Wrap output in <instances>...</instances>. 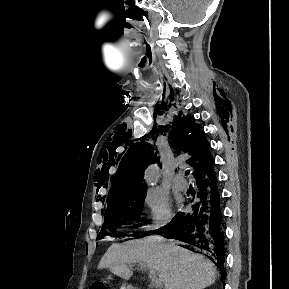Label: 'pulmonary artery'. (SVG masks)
Segmentation results:
<instances>
[{
  "instance_id": "1",
  "label": "pulmonary artery",
  "mask_w": 289,
  "mask_h": 289,
  "mask_svg": "<svg viewBox=\"0 0 289 289\" xmlns=\"http://www.w3.org/2000/svg\"><path fill=\"white\" fill-rule=\"evenodd\" d=\"M173 184L174 186L179 189V190H186L188 188V183L187 181L185 180L184 176L179 173V174H176L173 178Z\"/></svg>"
}]
</instances>
